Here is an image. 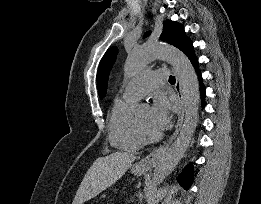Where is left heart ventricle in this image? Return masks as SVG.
Wrapping results in <instances>:
<instances>
[{
    "instance_id": "obj_1",
    "label": "left heart ventricle",
    "mask_w": 261,
    "mask_h": 204,
    "mask_svg": "<svg viewBox=\"0 0 261 204\" xmlns=\"http://www.w3.org/2000/svg\"><path fill=\"white\" fill-rule=\"evenodd\" d=\"M139 121L142 123L144 127H146L148 130L157 132L151 123V109L146 108L144 109L139 115H138Z\"/></svg>"
}]
</instances>
